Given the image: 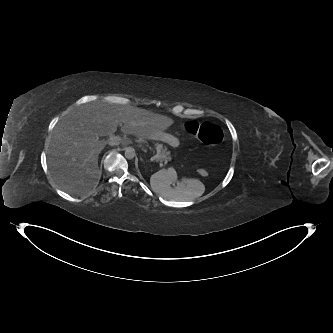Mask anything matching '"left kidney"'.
I'll return each mask as SVG.
<instances>
[{
    "label": "left kidney",
    "instance_id": "left-kidney-1",
    "mask_svg": "<svg viewBox=\"0 0 333 333\" xmlns=\"http://www.w3.org/2000/svg\"><path fill=\"white\" fill-rule=\"evenodd\" d=\"M171 172H172L173 174L177 175V174H176V171H175L174 169H171Z\"/></svg>",
    "mask_w": 333,
    "mask_h": 333
}]
</instances>
